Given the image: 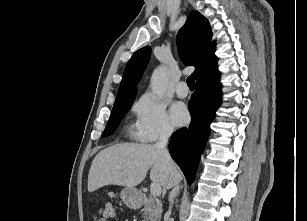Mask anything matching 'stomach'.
Wrapping results in <instances>:
<instances>
[{
	"label": "stomach",
	"instance_id": "0dacf381",
	"mask_svg": "<svg viewBox=\"0 0 307 221\" xmlns=\"http://www.w3.org/2000/svg\"><path fill=\"white\" fill-rule=\"evenodd\" d=\"M122 201L130 208H136L140 204V194L135 187H125L120 193Z\"/></svg>",
	"mask_w": 307,
	"mask_h": 221
}]
</instances>
